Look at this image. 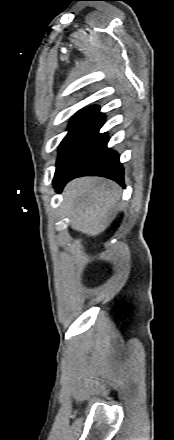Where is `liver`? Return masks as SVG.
<instances>
[{
    "label": "liver",
    "mask_w": 174,
    "mask_h": 440,
    "mask_svg": "<svg viewBox=\"0 0 174 440\" xmlns=\"http://www.w3.org/2000/svg\"><path fill=\"white\" fill-rule=\"evenodd\" d=\"M121 190L101 177H82L64 188L63 207L71 228L88 236L105 231L121 207Z\"/></svg>",
    "instance_id": "6515ba94"
}]
</instances>
